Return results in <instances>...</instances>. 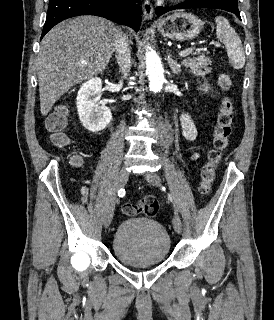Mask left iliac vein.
<instances>
[{"instance_id":"1","label":"left iliac vein","mask_w":274,"mask_h":320,"mask_svg":"<svg viewBox=\"0 0 274 320\" xmlns=\"http://www.w3.org/2000/svg\"><path fill=\"white\" fill-rule=\"evenodd\" d=\"M145 178L153 186H160L161 185V178L156 173H152V172L147 173V174H145ZM172 224H173L174 230L178 234H180L182 231V222H181V219L177 213H175L173 216Z\"/></svg>"}]
</instances>
